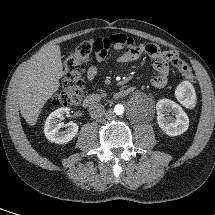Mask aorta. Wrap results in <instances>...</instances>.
Instances as JSON below:
<instances>
[{"label":"aorta","mask_w":215,"mask_h":215,"mask_svg":"<svg viewBox=\"0 0 215 215\" xmlns=\"http://www.w3.org/2000/svg\"><path fill=\"white\" fill-rule=\"evenodd\" d=\"M114 112L116 115H122L124 113V107L122 105H117L114 108Z\"/></svg>","instance_id":"762f6f07"}]
</instances>
